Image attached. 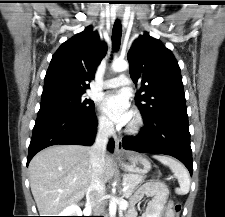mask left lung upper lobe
Masks as SVG:
<instances>
[{
	"label": "left lung upper lobe",
	"instance_id": "left-lung-upper-lobe-1",
	"mask_svg": "<svg viewBox=\"0 0 225 217\" xmlns=\"http://www.w3.org/2000/svg\"><path fill=\"white\" fill-rule=\"evenodd\" d=\"M130 76L141 88L135 97L143 117L186 111L178 62L172 52L145 32L128 52Z\"/></svg>",
	"mask_w": 225,
	"mask_h": 217
}]
</instances>
